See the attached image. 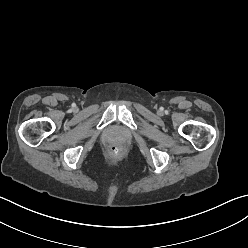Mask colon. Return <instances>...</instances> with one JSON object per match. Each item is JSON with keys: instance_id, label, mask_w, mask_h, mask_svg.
<instances>
[{"instance_id": "1", "label": "colon", "mask_w": 248, "mask_h": 248, "mask_svg": "<svg viewBox=\"0 0 248 248\" xmlns=\"http://www.w3.org/2000/svg\"><path fill=\"white\" fill-rule=\"evenodd\" d=\"M122 149L118 146H112L109 149V154L111 157H119L122 154Z\"/></svg>"}]
</instances>
